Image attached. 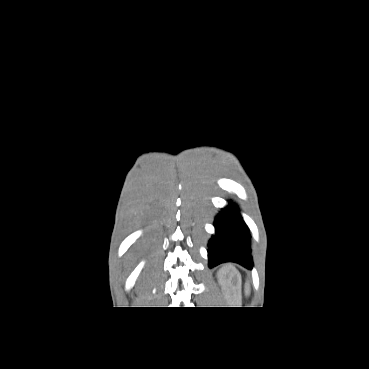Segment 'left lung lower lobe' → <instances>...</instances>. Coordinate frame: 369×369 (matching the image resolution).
Masks as SVG:
<instances>
[{
    "mask_svg": "<svg viewBox=\"0 0 369 369\" xmlns=\"http://www.w3.org/2000/svg\"><path fill=\"white\" fill-rule=\"evenodd\" d=\"M229 206L215 217L216 234L209 241V266L224 262H236L251 269L253 265L250 250V234L235 204Z\"/></svg>",
    "mask_w": 369,
    "mask_h": 369,
    "instance_id": "0a47b994",
    "label": "left lung lower lobe"
}]
</instances>
